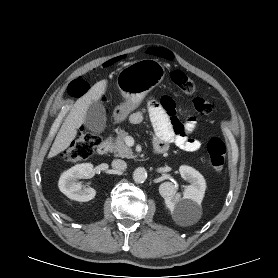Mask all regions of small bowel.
Wrapping results in <instances>:
<instances>
[{
	"label": "small bowel",
	"instance_id": "1",
	"mask_svg": "<svg viewBox=\"0 0 278 278\" xmlns=\"http://www.w3.org/2000/svg\"><path fill=\"white\" fill-rule=\"evenodd\" d=\"M146 116L149 117L154 129V148L165 152L171 143L188 152L201 148V141L191 137L197 126V119L190 116L181 123L175 116V104L170 97L163 96L160 102L151 99L146 110L131 114L129 120L132 124H139Z\"/></svg>",
	"mask_w": 278,
	"mask_h": 278
}]
</instances>
